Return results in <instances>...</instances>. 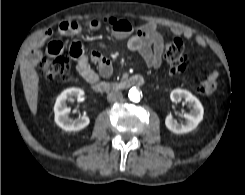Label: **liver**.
<instances>
[{
    "mask_svg": "<svg viewBox=\"0 0 245 195\" xmlns=\"http://www.w3.org/2000/svg\"><path fill=\"white\" fill-rule=\"evenodd\" d=\"M20 74L27 104L33 115L37 113L39 77L34 66L27 60L20 64Z\"/></svg>",
    "mask_w": 245,
    "mask_h": 195,
    "instance_id": "liver-1",
    "label": "liver"
}]
</instances>
